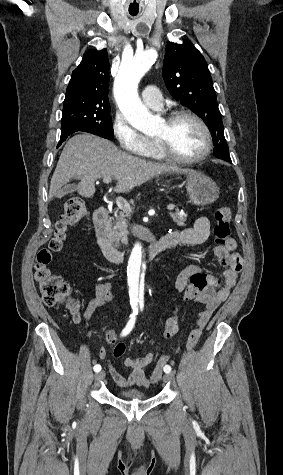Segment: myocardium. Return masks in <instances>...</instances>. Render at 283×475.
Returning a JSON list of instances; mask_svg holds the SVG:
<instances>
[{"label": "myocardium", "instance_id": "myocardium-1", "mask_svg": "<svg viewBox=\"0 0 283 475\" xmlns=\"http://www.w3.org/2000/svg\"><path fill=\"white\" fill-rule=\"evenodd\" d=\"M183 117H189L194 119L203 129L204 134H205V143L202 151L192 157L188 158H180L176 157L167 151V143L163 139H158L154 138V141L156 143V147L158 150V154L161 158V160L169 163V162H194V164L201 162L204 160L211 152L212 150V136L210 129L208 125L205 123V121L196 113H193L191 111H173L169 113L166 117V122L168 126L170 127L174 122H176L178 119L183 118Z\"/></svg>", "mask_w": 283, "mask_h": 475}]
</instances>
